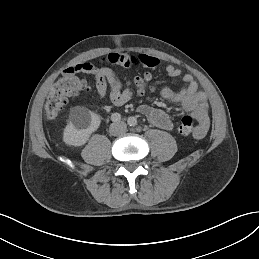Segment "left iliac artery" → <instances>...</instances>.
Listing matches in <instances>:
<instances>
[{"label":"left iliac artery","instance_id":"1","mask_svg":"<svg viewBox=\"0 0 259 259\" xmlns=\"http://www.w3.org/2000/svg\"><path fill=\"white\" fill-rule=\"evenodd\" d=\"M127 122L131 127H135L137 125V119L135 117H129Z\"/></svg>","mask_w":259,"mask_h":259}]
</instances>
